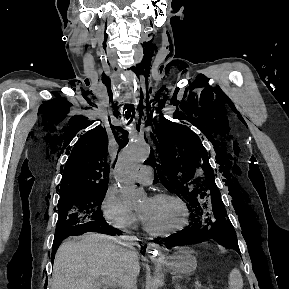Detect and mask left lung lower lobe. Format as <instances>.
Here are the masks:
<instances>
[{"label":"left lung lower lobe","mask_w":289,"mask_h":289,"mask_svg":"<svg viewBox=\"0 0 289 289\" xmlns=\"http://www.w3.org/2000/svg\"><path fill=\"white\" fill-rule=\"evenodd\" d=\"M222 210L224 212L225 209ZM198 237H208L216 240L215 230L212 226L192 222L184 230L167 237L164 241L170 246H183L195 243Z\"/></svg>","instance_id":"obj_1"}]
</instances>
